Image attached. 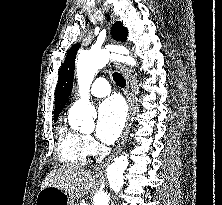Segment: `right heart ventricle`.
Wrapping results in <instances>:
<instances>
[{
  "label": "right heart ventricle",
  "mask_w": 222,
  "mask_h": 205,
  "mask_svg": "<svg viewBox=\"0 0 222 205\" xmlns=\"http://www.w3.org/2000/svg\"><path fill=\"white\" fill-rule=\"evenodd\" d=\"M56 154L58 160L65 166L79 167L84 165L89 157L85 136L65 123L61 124L57 132Z\"/></svg>",
  "instance_id": "1"
}]
</instances>
